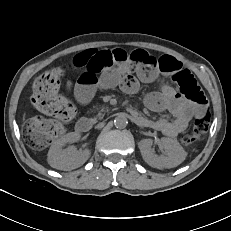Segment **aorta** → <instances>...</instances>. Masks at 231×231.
<instances>
[{
	"label": "aorta",
	"mask_w": 231,
	"mask_h": 231,
	"mask_svg": "<svg viewBox=\"0 0 231 231\" xmlns=\"http://www.w3.org/2000/svg\"><path fill=\"white\" fill-rule=\"evenodd\" d=\"M127 124H128V120L123 115H118L114 119V125H115L116 128L123 129V128H125L127 126Z\"/></svg>",
	"instance_id": "762f6f07"
}]
</instances>
